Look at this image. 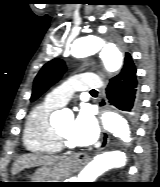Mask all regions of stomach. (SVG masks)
<instances>
[{"label": "stomach", "instance_id": "obj_1", "mask_svg": "<svg viewBox=\"0 0 160 187\" xmlns=\"http://www.w3.org/2000/svg\"><path fill=\"white\" fill-rule=\"evenodd\" d=\"M76 165L69 159H63L56 162L50 166H42L33 174L31 181L37 182L31 183L30 187H53L58 186L56 184L60 183H40V182H63L66 177H68ZM39 182V183H38Z\"/></svg>", "mask_w": 160, "mask_h": 187}]
</instances>
